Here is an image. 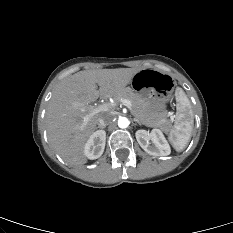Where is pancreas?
Listing matches in <instances>:
<instances>
[{
  "instance_id": "pancreas-1",
  "label": "pancreas",
  "mask_w": 233,
  "mask_h": 233,
  "mask_svg": "<svg viewBox=\"0 0 233 233\" xmlns=\"http://www.w3.org/2000/svg\"><path fill=\"white\" fill-rule=\"evenodd\" d=\"M117 100L127 99L132 104V114L142 124L146 126H157L163 129H168L169 123L166 117L162 113H154L151 110L149 103L141 98L137 93L132 91L130 88H126Z\"/></svg>"
}]
</instances>
